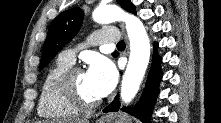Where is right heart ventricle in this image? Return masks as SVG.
<instances>
[{
	"instance_id": "right-heart-ventricle-1",
	"label": "right heart ventricle",
	"mask_w": 221,
	"mask_h": 123,
	"mask_svg": "<svg viewBox=\"0 0 221 123\" xmlns=\"http://www.w3.org/2000/svg\"><path fill=\"white\" fill-rule=\"evenodd\" d=\"M71 63L58 58L47 70L40 89L38 114L47 119L62 120L77 116L80 110L68 103L60 94L58 81Z\"/></svg>"
}]
</instances>
